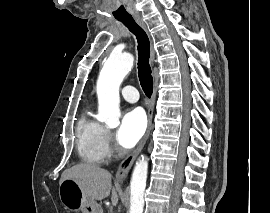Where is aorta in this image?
Returning <instances> with one entry per match:
<instances>
[{"mask_svg": "<svg viewBox=\"0 0 270 213\" xmlns=\"http://www.w3.org/2000/svg\"><path fill=\"white\" fill-rule=\"evenodd\" d=\"M134 58L130 53H112L103 65L97 82L98 119L109 126H117L120 118L119 87L131 71ZM148 162H136L130 181L129 213H143Z\"/></svg>", "mask_w": 270, "mask_h": 213, "instance_id": "obj_1", "label": "aorta"}]
</instances>
